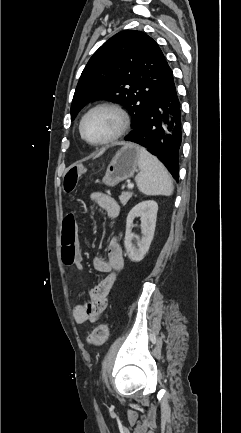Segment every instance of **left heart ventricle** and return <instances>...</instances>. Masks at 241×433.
I'll use <instances>...</instances> for the list:
<instances>
[{"label":"left heart ventricle","mask_w":241,"mask_h":433,"mask_svg":"<svg viewBox=\"0 0 241 433\" xmlns=\"http://www.w3.org/2000/svg\"><path fill=\"white\" fill-rule=\"evenodd\" d=\"M118 126L119 120L114 113L107 110H99L86 119L83 132L88 140L97 142L111 136Z\"/></svg>","instance_id":"1"}]
</instances>
